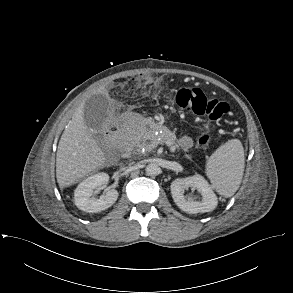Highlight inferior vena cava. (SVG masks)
I'll list each match as a JSON object with an SVG mask.
<instances>
[{"mask_svg":"<svg viewBox=\"0 0 293 293\" xmlns=\"http://www.w3.org/2000/svg\"><path fill=\"white\" fill-rule=\"evenodd\" d=\"M127 167H122L121 170H125Z\"/></svg>","mask_w":293,"mask_h":293,"instance_id":"602c4592","label":"inferior vena cava"}]
</instances>
